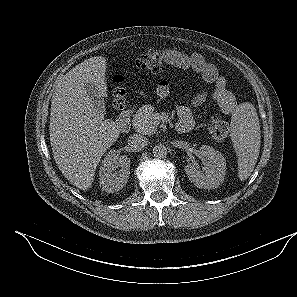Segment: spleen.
<instances>
[{"mask_svg":"<svg viewBox=\"0 0 297 297\" xmlns=\"http://www.w3.org/2000/svg\"><path fill=\"white\" fill-rule=\"evenodd\" d=\"M260 125L255 107L244 103L231 119L230 137L238 157V176L246 180L253 172L260 151Z\"/></svg>","mask_w":297,"mask_h":297,"instance_id":"obj_1","label":"spleen"}]
</instances>
